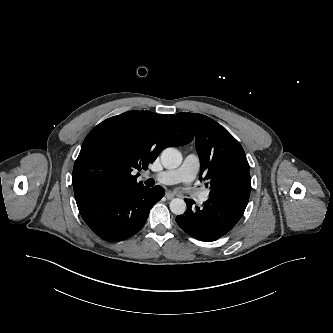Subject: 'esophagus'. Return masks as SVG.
<instances>
[{
	"mask_svg": "<svg viewBox=\"0 0 333 333\" xmlns=\"http://www.w3.org/2000/svg\"><path fill=\"white\" fill-rule=\"evenodd\" d=\"M165 196L168 200H171L175 197V195L171 192H166Z\"/></svg>",
	"mask_w": 333,
	"mask_h": 333,
	"instance_id": "1",
	"label": "esophagus"
}]
</instances>
